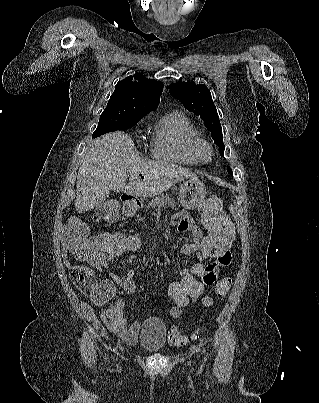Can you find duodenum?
<instances>
[{
  "label": "duodenum",
  "instance_id": "1",
  "mask_svg": "<svg viewBox=\"0 0 319 403\" xmlns=\"http://www.w3.org/2000/svg\"><path fill=\"white\" fill-rule=\"evenodd\" d=\"M122 200L124 203V213L126 215L132 214L141 206V202L129 195H123Z\"/></svg>",
  "mask_w": 319,
  "mask_h": 403
}]
</instances>
